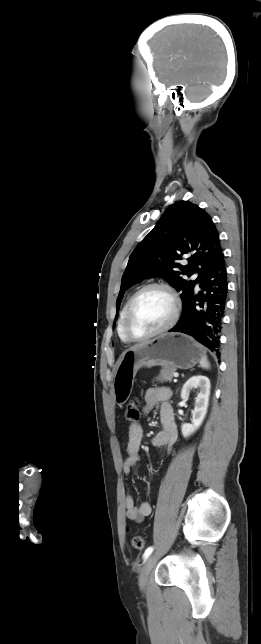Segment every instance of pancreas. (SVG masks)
<instances>
[{"label":"pancreas","mask_w":261,"mask_h":644,"mask_svg":"<svg viewBox=\"0 0 261 644\" xmlns=\"http://www.w3.org/2000/svg\"><path fill=\"white\" fill-rule=\"evenodd\" d=\"M175 373V369L171 367H163L160 371V375L157 377V380L160 382H171L173 379V375Z\"/></svg>","instance_id":"cf45deb5"}]
</instances>
